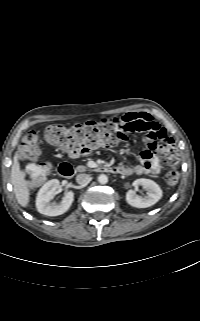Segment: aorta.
<instances>
[{
	"instance_id": "1",
	"label": "aorta",
	"mask_w": 200,
	"mask_h": 321,
	"mask_svg": "<svg viewBox=\"0 0 200 321\" xmlns=\"http://www.w3.org/2000/svg\"><path fill=\"white\" fill-rule=\"evenodd\" d=\"M98 182H99L100 184H107V182H108V177H107L105 174H101V175H99V177H98Z\"/></svg>"
}]
</instances>
